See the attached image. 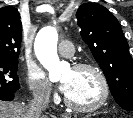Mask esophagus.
I'll return each instance as SVG.
<instances>
[{
    "mask_svg": "<svg viewBox=\"0 0 133 118\" xmlns=\"http://www.w3.org/2000/svg\"><path fill=\"white\" fill-rule=\"evenodd\" d=\"M63 118H75V116L70 115V114H65V115H63Z\"/></svg>",
    "mask_w": 133,
    "mask_h": 118,
    "instance_id": "1",
    "label": "esophagus"
}]
</instances>
